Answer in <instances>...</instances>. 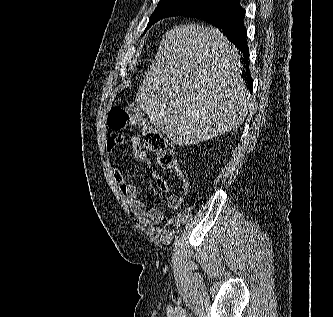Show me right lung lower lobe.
I'll return each mask as SVG.
<instances>
[{
  "mask_svg": "<svg viewBox=\"0 0 333 317\" xmlns=\"http://www.w3.org/2000/svg\"><path fill=\"white\" fill-rule=\"evenodd\" d=\"M245 10L240 6V1L230 3L213 11L194 16L204 20L222 30L223 34L242 52L244 63L248 68L247 30L244 26ZM246 86L252 92L253 79L247 72L244 75Z\"/></svg>",
  "mask_w": 333,
  "mask_h": 317,
  "instance_id": "98d812e1",
  "label": "right lung lower lobe"
}]
</instances>
